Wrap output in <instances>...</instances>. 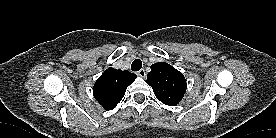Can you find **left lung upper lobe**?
<instances>
[{
  "label": "left lung upper lobe",
  "instance_id": "left-lung-upper-lobe-1",
  "mask_svg": "<svg viewBox=\"0 0 276 138\" xmlns=\"http://www.w3.org/2000/svg\"><path fill=\"white\" fill-rule=\"evenodd\" d=\"M146 83L152 87L158 100L170 106L182 100L187 88L183 74L165 62L151 66Z\"/></svg>",
  "mask_w": 276,
  "mask_h": 138
}]
</instances>
